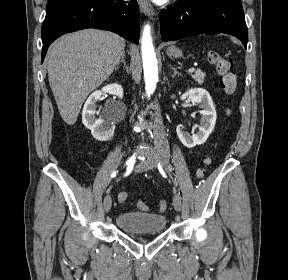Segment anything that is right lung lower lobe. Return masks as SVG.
Masks as SVG:
<instances>
[{
    "label": "right lung lower lobe",
    "instance_id": "right-lung-lower-lobe-1",
    "mask_svg": "<svg viewBox=\"0 0 288 280\" xmlns=\"http://www.w3.org/2000/svg\"><path fill=\"white\" fill-rule=\"evenodd\" d=\"M136 0H49L42 25V62L50 44L63 34L98 28L139 41Z\"/></svg>",
    "mask_w": 288,
    "mask_h": 280
}]
</instances>
